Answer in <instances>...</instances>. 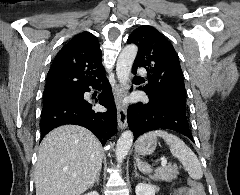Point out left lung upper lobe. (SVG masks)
Here are the masks:
<instances>
[{"label": "left lung upper lobe", "mask_w": 240, "mask_h": 195, "mask_svg": "<svg viewBox=\"0 0 240 195\" xmlns=\"http://www.w3.org/2000/svg\"><path fill=\"white\" fill-rule=\"evenodd\" d=\"M128 43L138 46L132 72L146 68L148 85L143 90L148 97L178 103L186 108L185 86L179 59L172 44L155 28L143 25L128 37Z\"/></svg>", "instance_id": "5c2ea615"}]
</instances>
